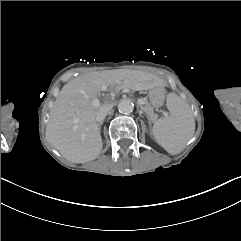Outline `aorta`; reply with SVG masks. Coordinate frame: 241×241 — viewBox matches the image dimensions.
<instances>
[{
  "label": "aorta",
  "mask_w": 241,
  "mask_h": 241,
  "mask_svg": "<svg viewBox=\"0 0 241 241\" xmlns=\"http://www.w3.org/2000/svg\"><path fill=\"white\" fill-rule=\"evenodd\" d=\"M134 109V104L129 99H124L119 102L118 110L122 114H130Z\"/></svg>",
  "instance_id": "1"
}]
</instances>
